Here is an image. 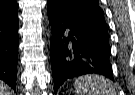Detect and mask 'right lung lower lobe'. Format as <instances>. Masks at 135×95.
<instances>
[{
    "instance_id": "98d812e1",
    "label": "right lung lower lobe",
    "mask_w": 135,
    "mask_h": 95,
    "mask_svg": "<svg viewBox=\"0 0 135 95\" xmlns=\"http://www.w3.org/2000/svg\"><path fill=\"white\" fill-rule=\"evenodd\" d=\"M18 62V15L0 18V79L14 90Z\"/></svg>"
}]
</instances>
